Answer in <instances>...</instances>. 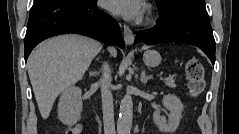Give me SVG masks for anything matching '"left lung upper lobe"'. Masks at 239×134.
I'll return each mask as SVG.
<instances>
[{
    "label": "left lung upper lobe",
    "instance_id": "left-lung-upper-lobe-1",
    "mask_svg": "<svg viewBox=\"0 0 239 134\" xmlns=\"http://www.w3.org/2000/svg\"><path fill=\"white\" fill-rule=\"evenodd\" d=\"M183 0H156L160 9V15L168 13L177 3Z\"/></svg>",
    "mask_w": 239,
    "mask_h": 134
}]
</instances>
